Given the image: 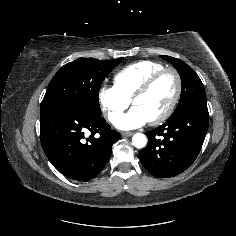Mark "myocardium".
<instances>
[{
    "instance_id": "1",
    "label": "myocardium",
    "mask_w": 236,
    "mask_h": 236,
    "mask_svg": "<svg viewBox=\"0 0 236 236\" xmlns=\"http://www.w3.org/2000/svg\"><path fill=\"white\" fill-rule=\"evenodd\" d=\"M170 73L174 76L175 81H176V90L174 93V96L169 104V106L167 107V109L157 118L150 120L149 123L151 125H159L163 122H165L166 120H168L171 115L174 113L177 104L180 100L181 94H182V89H183V83H182V78L180 73L172 67H168V68H163L162 70L158 71L157 73H155L154 75H152L133 95V97L131 98V104L133 105L134 102L139 99L140 97L144 96L145 94H147L151 88L155 85V83L165 74Z\"/></svg>"
}]
</instances>
